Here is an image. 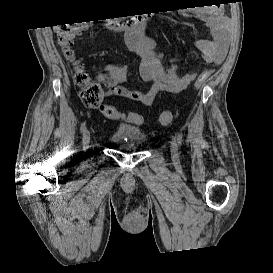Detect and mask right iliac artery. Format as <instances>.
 I'll use <instances>...</instances> for the list:
<instances>
[{
  "label": "right iliac artery",
  "mask_w": 273,
  "mask_h": 273,
  "mask_svg": "<svg viewBox=\"0 0 273 273\" xmlns=\"http://www.w3.org/2000/svg\"><path fill=\"white\" fill-rule=\"evenodd\" d=\"M85 129H86V123L83 122V123L81 124V127H80L81 133H83V132L85 131Z\"/></svg>",
  "instance_id": "82829eb1"
}]
</instances>
